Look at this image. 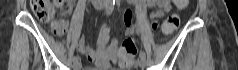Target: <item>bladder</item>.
<instances>
[{"label":"bladder","mask_w":238,"mask_h":70,"mask_svg":"<svg viewBox=\"0 0 238 70\" xmlns=\"http://www.w3.org/2000/svg\"><path fill=\"white\" fill-rule=\"evenodd\" d=\"M108 70H122V69H118V68H109Z\"/></svg>","instance_id":"31cf9c89"}]
</instances>
